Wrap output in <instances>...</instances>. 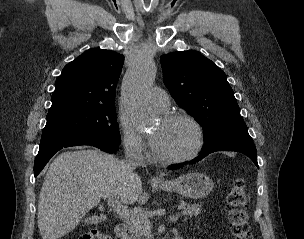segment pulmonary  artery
<instances>
[{
	"instance_id": "obj_1",
	"label": "pulmonary artery",
	"mask_w": 304,
	"mask_h": 239,
	"mask_svg": "<svg viewBox=\"0 0 304 239\" xmlns=\"http://www.w3.org/2000/svg\"><path fill=\"white\" fill-rule=\"evenodd\" d=\"M149 103L160 111L168 110L170 99L168 94L159 87H153L148 92Z\"/></svg>"
}]
</instances>
